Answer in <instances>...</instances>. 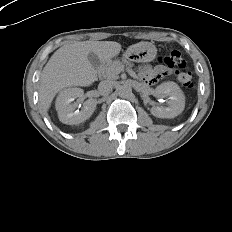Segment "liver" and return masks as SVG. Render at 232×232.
Here are the masks:
<instances>
[{
	"instance_id": "6515ba94",
	"label": "liver",
	"mask_w": 232,
	"mask_h": 232,
	"mask_svg": "<svg viewBox=\"0 0 232 232\" xmlns=\"http://www.w3.org/2000/svg\"><path fill=\"white\" fill-rule=\"evenodd\" d=\"M147 42L128 47L133 52ZM121 51V44L114 41H83L65 44L54 52L45 65L39 86L40 109L47 114L55 95L70 86H90L96 79V71L88 60L94 52L101 61L107 62Z\"/></svg>"
}]
</instances>
